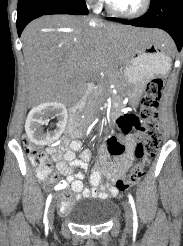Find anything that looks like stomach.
<instances>
[{
    "label": "stomach",
    "mask_w": 183,
    "mask_h": 246,
    "mask_svg": "<svg viewBox=\"0 0 183 246\" xmlns=\"http://www.w3.org/2000/svg\"><path fill=\"white\" fill-rule=\"evenodd\" d=\"M165 47L156 42L133 41L123 64V79L130 85V95L135 97L141 94L144 85L154 75H164L171 64ZM146 61V62H135Z\"/></svg>",
    "instance_id": "0dacf381"
}]
</instances>
